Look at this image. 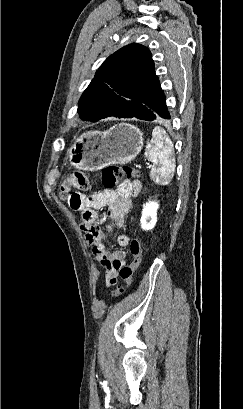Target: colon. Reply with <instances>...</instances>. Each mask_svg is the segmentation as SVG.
<instances>
[{
    "mask_svg": "<svg viewBox=\"0 0 243 409\" xmlns=\"http://www.w3.org/2000/svg\"><path fill=\"white\" fill-rule=\"evenodd\" d=\"M101 177L104 187L112 189L116 187L124 177L128 180L136 181L139 178V172L127 166L107 165L103 168ZM89 186L90 181L88 176L81 171H76L61 181L59 184V194L62 199L68 201L70 206L76 207L79 204V200L75 196L76 193L72 192V190L84 191L87 190ZM130 249L133 259L128 265L120 269L119 275L123 279L124 284L116 287L113 291L114 297L122 295L132 284L133 274L140 265L142 255L140 240L137 238L134 239L131 242Z\"/></svg>",
    "mask_w": 243,
    "mask_h": 409,
    "instance_id": "obj_1",
    "label": "colon"
}]
</instances>
